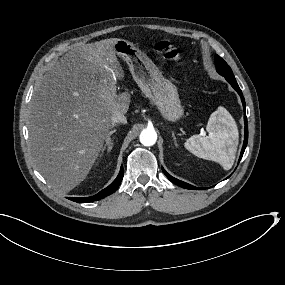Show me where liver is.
<instances>
[{
  "instance_id": "liver-1",
  "label": "liver",
  "mask_w": 285,
  "mask_h": 285,
  "mask_svg": "<svg viewBox=\"0 0 285 285\" xmlns=\"http://www.w3.org/2000/svg\"><path fill=\"white\" fill-rule=\"evenodd\" d=\"M110 38L77 46L36 83L28 115L30 155L47 183L65 194L95 163L115 112L127 113L128 92L116 94L124 72Z\"/></svg>"
}]
</instances>
